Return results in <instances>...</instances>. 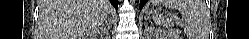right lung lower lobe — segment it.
Instances as JSON below:
<instances>
[{"label": "right lung lower lobe", "instance_id": "1", "mask_svg": "<svg viewBox=\"0 0 249 39\" xmlns=\"http://www.w3.org/2000/svg\"><path fill=\"white\" fill-rule=\"evenodd\" d=\"M113 6L117 9L118 8V0H110Z\"/></svg>", "mask_w": 249, "mask_h": 39}]
</instances>
